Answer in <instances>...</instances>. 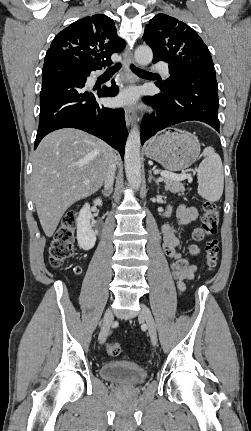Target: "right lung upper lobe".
<instances>
[{
  "instance_id": "1",
  "label": "right lung upper lobe",
  "mask_w": 251,
  "mask_h": 431,
  "mask_svg": "<svg viewBox=\"0 0 251 431\" xmlns=\"http://www.w3.org/2000/svg\"><path fill=\"white\" fill-rule=\"evenodd\" d=\"M125 45L110 17L104 14L87 16L69 25L54 38L46 53L43 69L57 61L101 69L112 64L111 55L121 52Z\"/></svg>"
}]
</instances>
